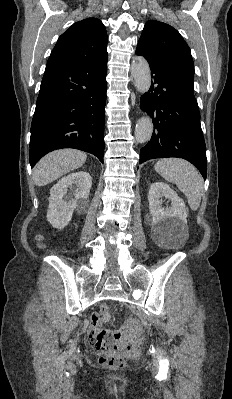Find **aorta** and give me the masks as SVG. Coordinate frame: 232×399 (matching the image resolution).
Returning <instances> with one entry per match:
<instances>
[{
    "label": "aorta",
    "mask_w": 232,
    "mask_h": 399,
    "mask_svg": "<svg viewBox=\"0 0 232 399\" xmlns=\"http://www.w3.org/2000/svg\"><path fill=\"white\" fill-rule=\"evenodd\" d=\"M131 74L134 85L140 93L148 92L151 85V73L148 62L144 57H135L131 64ZM153 133V123L150 117H141L135 127V139L138 143L147 142Z\"/></svg>",
    "instance_id": "obj_1"
}]
</instances>
